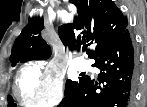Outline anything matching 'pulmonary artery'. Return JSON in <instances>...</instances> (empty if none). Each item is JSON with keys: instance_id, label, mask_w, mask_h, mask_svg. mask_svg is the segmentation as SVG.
<instances>
[{"instance_id": "e3ab8cb5", "label": "pulmonary artery", "mask_w": 147, "mask_h": 107, "mask_svg": "<svg viewBox=\"0 0 147 107\" xmlns=\"http://www.w3.org/2000/svg\"><path fill=\"white\" fill-rule=\"evenodd\" d=\"M73 65L75 66V68H77L78 70H84L88 67V63L85 59L83 58H77L74 60Z\"/></svg>"}]
</instances>
